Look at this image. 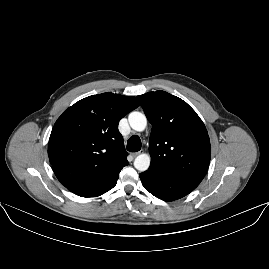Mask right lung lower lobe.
<instances>
[{
    "label": "right lung lower lobe",
    "mask_w": 269,
    "mask_h": 269,
    "mask_svg": "<svg viewBox=\"0 0 269 269\" xmlns=\"http://www.w3.org/2000/svg\"><path fill=\"white\" fill-rule=\"evenodd\" d=\"M123 167L124 166L104 179L86 184L70 186L67 189L81 197H96L102 195L116 185L119 173Z\"/></svg>",
    "instance_id": "right-lung-lower-lobe-1"
}]
</instances>
